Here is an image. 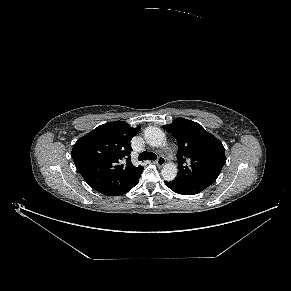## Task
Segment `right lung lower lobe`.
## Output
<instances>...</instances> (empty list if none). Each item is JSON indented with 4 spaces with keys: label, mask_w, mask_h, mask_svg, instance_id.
<instances>
[{
    "label": "right lung lower lobe",
    "mask_w": 291,
    "mask_h": 291,
    "mask_svg": "<svg viewBox=\"0 0 291 291\" xmlns=\"http://www.w3.org/2000/svg\"><path fill=\"white\" fill-rule=\"evenodd\" d=\"M140 176H141V173L133 181H131L129 184H127L122 189L117 190V191H113V192H109V193H105V195L117 196V195H123V194L127 193L129 190H131L134 186H136L138 184Z\"/></svg>",
    "instance_id": "obj_1"
}]
</instances>
